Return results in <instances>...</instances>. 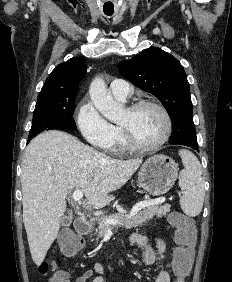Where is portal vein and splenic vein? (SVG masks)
I'll return each mask as SVG.
<instances>
[{"label":"portal vein and splenic vein","mask_w":232,"mask_h":282,"mask_svg":"<svg viewBox=\"0 0 232 282\" xmlns=\"http://www.w3.org/2000/svg\"><path fill=\"white\" fill-rule=\"evenodd\" d=\"M72 198L75 200V201H78L80 202L81 199L83 198V191L80 190V189H76L74 192H73V195H72ZM165 201V197H161V198H157V199H154V200H148V201H141L139 202L138 204H136L133 209L131 210L130 212V215L129 216H134L136 213H138L141 209H144L146 207H150V206H153V205H157V204H161ZM103 221H105L106 223L108 224H117L119 221L117 219H112V218H105L103 219Z\"/></svg>","instance_id":"18ae733b"}]
</instances>
